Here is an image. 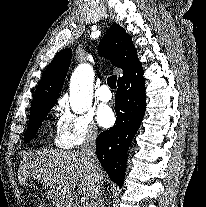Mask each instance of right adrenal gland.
I'll use <instances>...</instances> for the list:
<instances>
[{"mask_svg":"<svg viewBox=\"0 0 206 207\" xmlns=\"http://www.w3.org/2000/svg\"><path fill=\"white\" fill-rule=\"evenodd\" d=\"M102 203H103V206H102V207H104V206H105V204H106V202H105L104 200H102Z\"/></svg>","mask_w":206,"mask_h":207,"instance_id":"2a0ac1e0","label":"right adrenal gland"}]
</instances>
